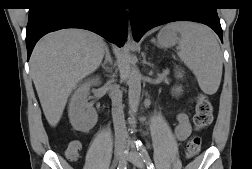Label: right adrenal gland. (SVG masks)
Segmentation results:
<instances>
[{"label": "right adrenal gland", "mask_w": 252, "mask_h": 169, "mask_svg": "<svg viewBox=\"0 0 252 169\" xmlns=\"http://www.w3.org/2000/svg\"><path fill=\"white\" fill-rule=\"evenodd\" d=\"M108 65H113V59L111 57V53H110V50H109V47L106 45L105 46V59H104V62L102 63V68L106 71V72H109L110 71V68Z\"/></svg>", "instance_id": "right-adrenal-gland-1"}]
</instances>
